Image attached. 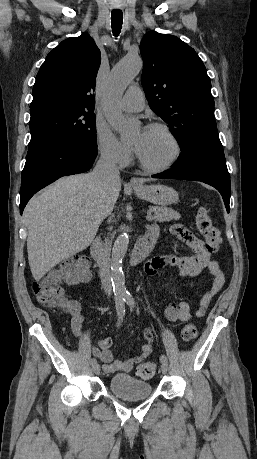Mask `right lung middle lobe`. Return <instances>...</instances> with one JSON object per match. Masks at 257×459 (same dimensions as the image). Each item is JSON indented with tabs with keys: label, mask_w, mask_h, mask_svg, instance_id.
Returning a JSON list of instances; mask_svg holds the SVG:
<instances>
[{
	"label": "right lung middle lobe",
	"mask_w": 257,
	"mask_h": 459,
	"mask_svg": "<svg viewBox=\"0 0 257 459\" xmlns=\"http://www.w3.org/2000/svg\"><path fill=\"white\" fill-rule=\"evenodd\" d=\"M31 140L58 139L97 148L95 114L91 109L51 106L31 112Z\"/></svg>",
	"instance_id": "obj_1"
}]
</instances>
